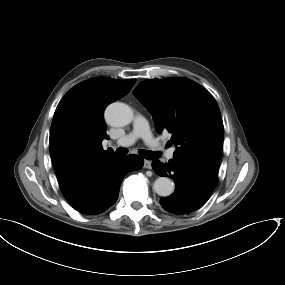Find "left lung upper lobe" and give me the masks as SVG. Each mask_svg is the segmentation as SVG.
<instances>
[{
    "label": "left lung upper lobe",
    "mask_w": 285,
    "mask_h": 285,
    "mask_svg": "<svg viewBox=\"0 0 285 285\" xmlns=\"http://www.w3.org/2000/svg\"><path fill=\"white\" fill-rule=\"evenodd\" d=\"M134 96L149 110L159 133H172L174 158L218 167L224 137L219 107L201 85L185 78L150 79Z\"/></svg>",
    "instance_id": "1"
}]
</instances>
